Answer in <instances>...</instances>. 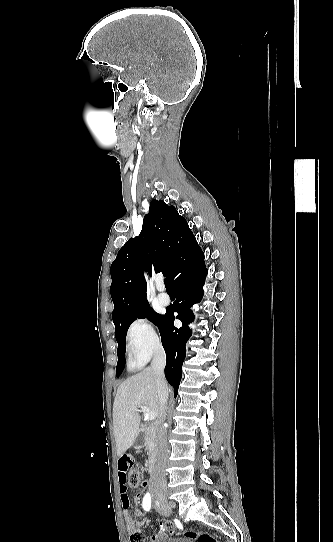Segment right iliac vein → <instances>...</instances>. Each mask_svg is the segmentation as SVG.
Masks as SVG:
<instances>
[{"mask_svg": "<svg viewBox=\"0 0 333 542\" xmlns=\"http://www.w3.org/2000/svg\"><path fill=\"white\" fill-rule=\"evenodd\" d=\"M153 496H155V497L158 499V494H157V495H153Z\"/></svg>", "mask_w": 333, "mask_h": 542, "instance_id": "63e3f726", "label": "right iliac vein"}]
</instances>
